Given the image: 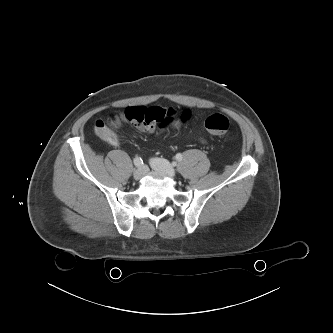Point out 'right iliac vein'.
I'll use <instances>...</instances> for the list:
<instances>
[{
	"label": "right iliac vein",
	"instance_id": "1",
	"mask_svg": "<svg viewBox=\"0 0 333 333\" xmlns=\"http://www.w3.org/2000/svg\"><path fill=\"white\" fill-rule=\"evenodd\" d=\"M146 173V168L144 166L139 167L138 169H136L133 173V178L135 180H140Z\"/></svg>",
	"mask_w": 333,
	"mask_h": 333
}]
</instances>
